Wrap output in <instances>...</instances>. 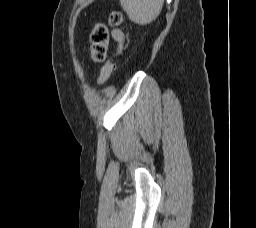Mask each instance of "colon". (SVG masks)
<instances>
[{
	"instance_id": "colon-1",
	"label": "colon",
	"mask_w": 256,
	"mask_h": 228,
	"mask_svg": "<svg viewBox=\"0 0 256 228\" xmlns=\"http://www.w3.org/2000/svg\"><path fill=\"white\" fill-rule=\"evenodd\" d=\"M124 19L123 12L120 10L112 11L109 16V23L113 27H118L122 24ZM92 47L90 51V58L93 62L101 63L104 65L100 71L98 82L105 84L115 71V63L112 60H107V49L109 44V32L108 28L103 23H96L91 32Z\"/></svg>"
}]
</instances>
